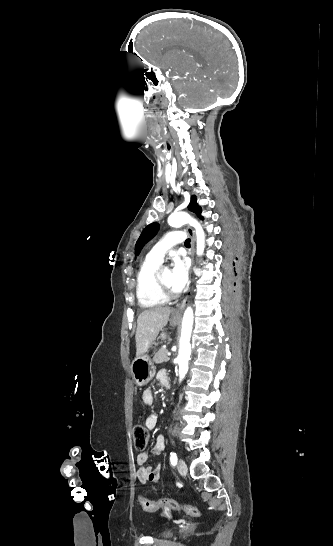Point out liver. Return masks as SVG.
Returning a JSON list of instances; mask_svg holds the SVG:
<instances>
[{"mask_svg":"<svg viewBox=\"0 0 333 546\" xmlns=\"http://www.w3.org/2000/svg\"><path fill=\"white\" fill-rule=\"evenodd\" d=\"M171 309L169 307H155L139 314L137 319L136 356L144 355L159 332L169 321Z\"/></svg>","mask_w":333,"mask_h":546,"instance_id":"6515ba94","label":"liver"}]
</instances>
